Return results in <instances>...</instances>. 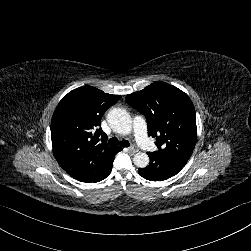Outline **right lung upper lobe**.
<instances>
[{"instance_id":"1","label":"right lung upper lobe","mask_w":251,"mask_h":251,"mask_svg":"<svg viewBox=\"0 0 251 251\" xmlns=\"http://www.w3.org/2000/svg\"><path fill=\"white\" fill-rule=\"evenodd\" d=\"M121 96L83 86L60 101L51 121L53 153L59 165L82 182L100 180L113 163L120 147H109L101 118Z\"/></svg>"}]
</instances>
